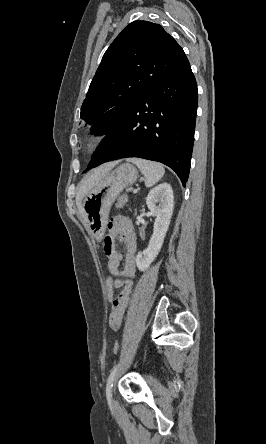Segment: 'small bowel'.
Returning <instances> with one entry per match:
<instances>
[{"label":"small bowel","instance_id":"1","mask_svg":"<svg viewBox=\"0 0 266 444\" xmlns=\"http://www.w3.org/2000/svg\"><path fill=\"white\" fill-rule=\"evenodd\" d=\"M125 246V254L117 250V243ZM104 253L107 257V267L111 274L115 275V284L121 292L113 301L109 312V326L112 330L120 329L125 311L130 301L133 287L132 279L135 277L136 236L130 220L125 216H116L109 222L108 233L104 238ZM124 265L120 268L121 262ZM126 278V280L120 278Z\"/></svg>","mask_w":266,"mask_h":444}]
</instances>
